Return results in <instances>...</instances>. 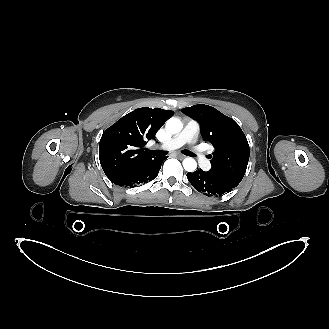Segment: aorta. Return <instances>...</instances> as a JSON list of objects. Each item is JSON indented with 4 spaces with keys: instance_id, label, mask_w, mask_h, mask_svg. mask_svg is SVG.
I'll return each instance as SVG.
<instances>
[{
    "instance_id": "aorta-1",
    "label": "aorta",
    "mask_w": 329,
    "mask_h": 329,
    "mask_svg": "<svg viewBox=\"0 0 329 329\" xmlns=\"http://www.w3.org/2000/svg\"><path fill=\"white\" fill-rule=\"evenodd\" d=\"M182 128L183 124L178 118L172 117L166 122V129L173 134L179 133ZM183 167L187 172H194L197 168V162L195 159L187 157L183 160Z\"/></svg>"
}]
</instances>
